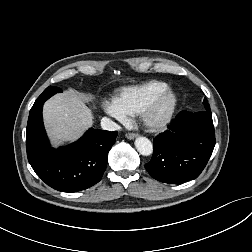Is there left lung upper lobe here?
Listing matches in <instances>:
<instances>
[{
	"instance_id": "left-lung-upper-lobe-1",
	"label": "left lung upper lobe",
	"mask_w": 252,
	"mask_h": 252,
	"mask_svg": "<svg viewBox=\"0 0 252 252\" xmlns=\"http://www.w3.org/2000/svg\"><path fill=\"white\" fill-rule=\"evenodd\" d=\"M203 104H204V110H206V111H211V110H210V106H209V104H208L206 98L204 99Z\"/></svg>"
}]
</instances>
